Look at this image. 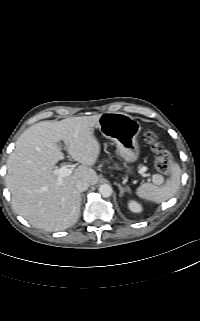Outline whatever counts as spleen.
<instances>
[{"label": "spleen", "mask_w": 200, "mask_h": 321, "mask_svg": "<svg viewBox=\"0 0 200 321\" xmlns=\"http://www.w3.org/2000/svg\"><path fill=\"white\" fill-rule=\"evenodd\" d=\"M169 170L171 177L165 184L162 176L155 175V182L141 184L136 190V195L155 203H162L172 198L180 185L181 169L176 162H171Z\"/></svg>", "instance_id": "obj_1"}]
</instances>
